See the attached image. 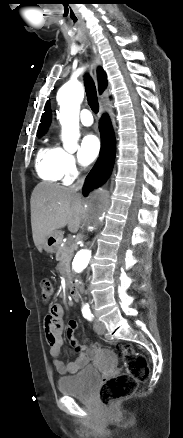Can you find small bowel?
<instances>
[{
  "label": "small bowel",
  "instance_id": "obj_1",
  "mask_svg": "<svg viewBox=\"0 0 183 438\" xmlns=\"http://www.w3.org/2000/svg\"><path fill=\"white\" fill-rule=\"evenodd\" d=\"M44 324L46 340L50 346V354L52 357L55 358V369L61 375L75 374L79 372L100 350V345L97 343L91 345L80 343L75 336V332L78 328V323L74 320H70L66 327V336L70 347L78 353V356L74 361L64 363L63 361L58 359L63 353L64 344L62 337V333L64 330L63 308L61 305L52 304L49 307Z\"/></svg>",
  "mask_w": 183,
  "mask_h": 438
}]
</instances>
